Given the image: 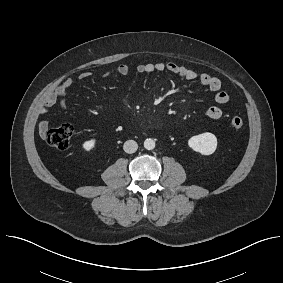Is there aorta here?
Wrapping results in <instances>:
<instances>
[{"instance_id": "obj_1", "label": "aorta", "mask_w": 283, "mask_h": 283, "mask_svg": "<svg viewBox=\"0 0 283 283\" xmlns=\"http://www.w3.org/2000/svg\"><path fill=\"white\" fill-rule=\"evenodd\" d=\"M144 148L147 150H153L155 148V141L153 139H146L144 141Z\"/></svg>"}]
</instances>
